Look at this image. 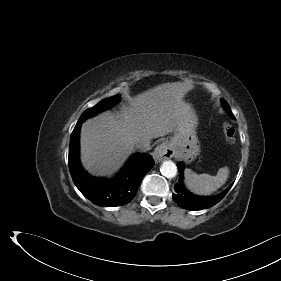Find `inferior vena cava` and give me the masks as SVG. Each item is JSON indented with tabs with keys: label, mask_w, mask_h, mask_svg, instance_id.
<instances>
[{
	"label": "inferior vena cava",
	"mask_w": 281,
	"mask_h": 281,
	"mask_svg": "<svg viewBox=\"0 0 281 281\" xmlns=\"http://www.w3.org/2000/svg\"><path fill=\"white\" fill-rule=\"evenodd\" d=\"M136 148L140 152H147L151 149L150 141L149 140H141L136 144Z\"/></svg>",
	"instance_id": "obj_1"
}]
</instances>
